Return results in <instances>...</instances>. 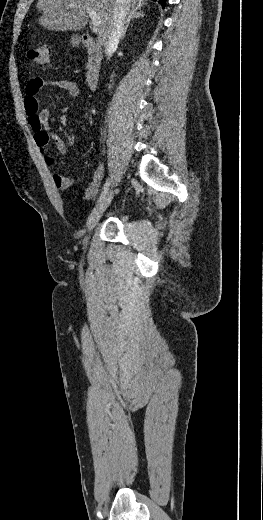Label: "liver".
I'll return each instance as SVG.
<instances>
[{
  "label": "liver",
  "mask_w": 263,
  "mask_h": 520,
  "mask_svg": "<svg viewBox=\"0 0 263 520\" xmlns=\"http://www.w3.org/2000/svg\"><path fill=\"white\" fill-rule=\"evenodd\" d=\"M70 4H74L71 7ZM144 0H129V9L141 8ZM115 0H38L37 8L42 12L39 25L51 31H78L88 22L87 9L100 16L98 40L104 44L111 22Z\"/></svg>",
  "instance_id": "1"
}]
</instances>
